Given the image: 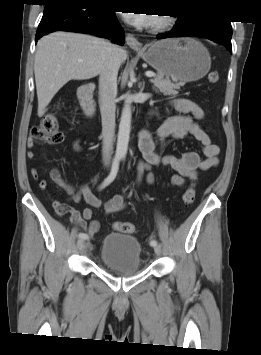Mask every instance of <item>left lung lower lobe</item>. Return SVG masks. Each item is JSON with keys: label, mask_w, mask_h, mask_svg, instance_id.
I'll list each match as a JSON object with an SVG mask.
<instances>
[{"label": "left lung lower lobe", "mask_w": 261, "mask_h": 355, "mask_svg": "<svg viewBox=\"0 0 261 355\" xmlns=\"http://www.w3.org/2000/svg\"><path fill=\"white\" fill-rule=\"evenodd\" d=\"M178 18L173 30L168 34H158L157 39L176 36L202 37L222 44L232 53V27L229 20L216 18Z\"/></svg>", "instance_id": "obj_1"}]
</instances>
